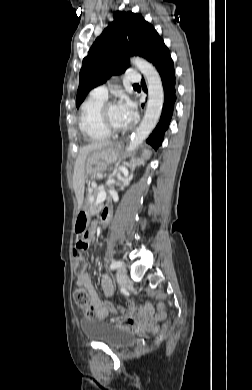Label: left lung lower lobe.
<instances>
[{
  "instance_id": "left-lung-lower-lobe-1",
  "label": "left lung lower lobe",
  "mask_w": 252,
  "mask_h": 390,
  "mask_svg": "<svg viewBox=\"0 0 252 390\" xmlns=\"http://www.w3.org/2000/svg\"><path fill=\"white\" fill-rule=\"evenodd\" d=\"M149 62L156 67L164 89V103L159 123L147 139V143L157 149L161 145L164 133L169 127L176 101V76L174 64L170 56V51L163 40L155 47ZM141 85L143 91L146 92L147 88L144 80L141 81Z\"/></svg>"
}]
</instances>
